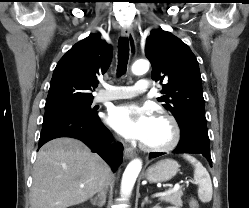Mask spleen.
Listing matches in <instances>:
<instances>
[{"mask_svg":"<svg viewBox=\"0 0 249 208\" xmlns=\"http://www.w3.org/2000/svg\"><path fill=\"white\" fill-rule=\"evenodd\" d=\"M183 157L194 165V180L198 184V197L202 202H209L212 199L213 189L210 175L206 168L191 155Z\"/></svg>","mask_w":249,"mask_h":208,"instance_id":"spleen-1","label":"spleen"}]
</instances>
